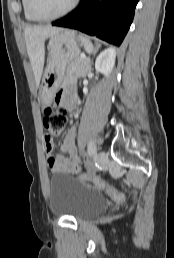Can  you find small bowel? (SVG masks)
Instances as JSON below:
<instances>
[{"label":"small bowel","instance_id":"small-bowel-1","mask_svg":"<svg viewBox=\"0 0 174 258\" xmlns=\"http://www.w3.org/2000/svg\"><path fill=\"white\" fill-rule=\"evenodd\" d=\"M75 87H67L59 92L55 97V103L64 105L72 114L77 113V102L74 96ZM77 127L72 126L66 134L61 144L64 154L54 152V146L48 135L44 137V150L46 154V165L52 173H71L76 174L82 169L81 158L75 146Z\"/></svg>","mask_w":174,"mask_h":258}]
</instances>
